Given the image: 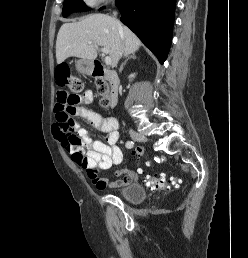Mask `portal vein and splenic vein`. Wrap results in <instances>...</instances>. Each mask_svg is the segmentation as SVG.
Returning <instances> with one entry per match:
<instances>
[{
  "instance_id": "18ae733b",
  "label": "portal vein and splenic vein",
  "mask_w": 248,
  "mask_h": 258,
  "mask_svg": "<svg viewBox=\"0 0 248 258\" xmlns=\"http://www.w3.org/2000/svg\"><path fill=\"white\" fill-rule=\"evenodd\" d=\"M91 45H92V44H91ZM92 46H94V45H92ZM94 47H96V46H94ZM96 48L98 49V47H96ZM101 51L103 52L102 55H104L105 53H107L106 49H102ZM105 63H106L107 65H110V64H111V58H110L109 56L105 57Z\"/></svg>"
}]
</instances>
